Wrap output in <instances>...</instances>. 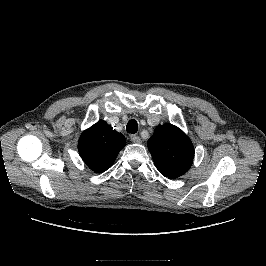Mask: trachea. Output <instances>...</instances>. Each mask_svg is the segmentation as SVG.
Returning a JSON list of instances; mask_svg holds the SVG:
<instances>
[{
	"label": "trachea",
	"instance_id": "3493384b",
	"mask_svg": "<svg viewBox=\"0 0 266 266\" xmlns=\"http://www.w3.org/2000/svg\"><path fill=\"white\" fill-rule=\"evenodd\" d=\"M126 130L128 133L134 134L138 131V123L132 119L127 123Z\"/></svg>",
	"mask_w": 266,
	"mask_h": 266
}]
</instances>
